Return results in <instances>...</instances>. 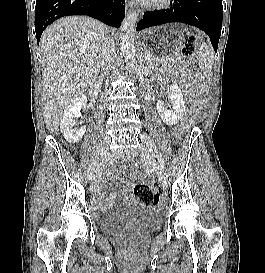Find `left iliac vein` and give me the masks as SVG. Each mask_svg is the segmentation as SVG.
Segmentation results:
<instances>
[{"label": "left iliac vein", "mask_w": 265, "mask_h": 273, "mask_svg": "<svg viewBox=\"0 0 265 273\" xmlns=\"http://www.w3.org/2000/svg\"><path fill=\"white\" fill-rule=\"evenodd\" d=\"M145 136L147 138L151 139L150 136H148L146 134H145ZM140 158L142 159L143 162H145L156 173L162 187L167 188L168 178H167L166 173L162 170L160 165L157 163L156 159L150 153L149 149L144 145H142V147H141Z\"/></svg>", "instance_id": "1"}]
</instances>
